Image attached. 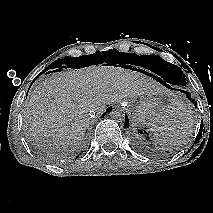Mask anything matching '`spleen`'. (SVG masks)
<instances>
[{
  "mask_svg": "<svg viewBox=\"0 0 213 213\" xmlns=\"http://www.w3.org/2000/svg\"><path fill=\"white\" fill-rule=\"evenodd\" d=\"M149 129L156 145L163 148L179 146L192 126V108L188 103L173 102L156 118Z\"/></svg>",
  "mask_w": 213,
  "mask_h": 213,
  "instance_id": "3e777b00",
  "label": "spleen"
}]
</instances>
